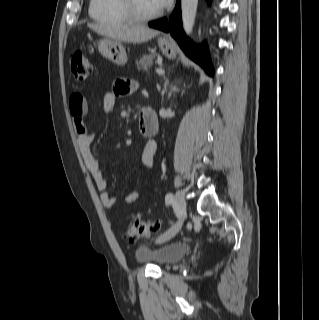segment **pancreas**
<instances>
[{
  "label": "pancreas",
  "mask_w": 319,
  "mask_h": 320,
  "mask_svg": "<svg viewBox=\"0 0 319 320\" xmlns=\"http://www.w3.org/2000/svg\"><path fill=\"white\" fill-rule=\"evenodd\" d=\"M158 57L157 54H149V55H143L139 62H137L138 69H147L148 67H151L154 63H157L156 58Z\"/></svg>",
  "instance_id": "cf45deb5"
}]
</instances>
